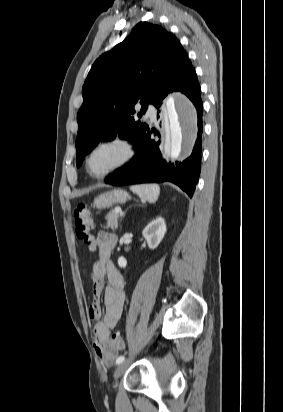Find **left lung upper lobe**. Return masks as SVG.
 Returning <instances> with one entry per match:
<instances>
[{
    "label": "left lung upper lobe",
    "mask_w": 283,
    "mask_h": 412,
    "mask_svg": "<svg viewBox=\"0 0 283 412\" xmlns=\"http://www.w3.org/2000/svg\"><path fill=\"white\" fill-rule=\"evenodd\" d=\"M193 69L173 34L158 25L137 24L128 38L94 62L83 85V104L77 114V167L99 141L116 136L131 140L148 128L134 117L136 104H141L138 117L149 104L159 107Z\"/></svg>",
    "instance_id": "obj_1"
}]
</instances>
